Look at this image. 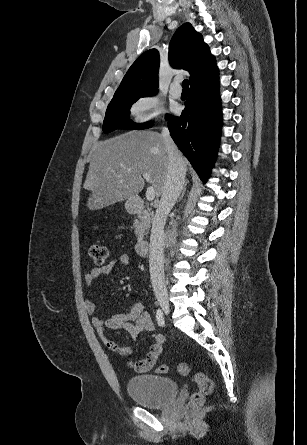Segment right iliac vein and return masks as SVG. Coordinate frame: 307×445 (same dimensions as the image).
Instances as JSON below:
<instances>
[{
  "label": "right iliac vein",
  "mask_w": 307,
  "mask_h": 445,
  "mask_svg": "<svg viewBox=\"0 0 307 445\" xmlns=\"http://www.w3.org/2000/svg\"><path fill=\"white\" fill-rule=\"evenodd\" d=\"M158 302H159L160 307L165 312V314H169L170 307H169V302L167 301V299L161 298V299L158 300Z\"/></svg>",
  "instance_id": "obj_1"
}]
</instances>
